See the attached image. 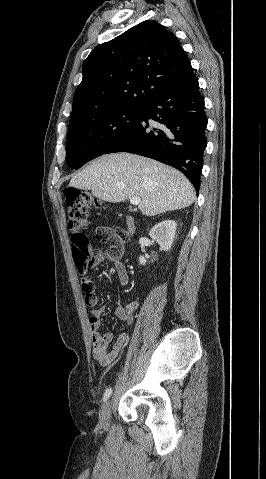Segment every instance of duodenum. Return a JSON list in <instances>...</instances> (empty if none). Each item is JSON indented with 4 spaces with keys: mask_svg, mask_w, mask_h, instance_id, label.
<instances>
[{
    "mask_svg": "<svg viewBox=\"0 0 266 479\" xmlns=\"http://www.w3.org/2000/svg\"><path fill=\"white\" fill-rule=\"evenodd\" d=\"M126 222H127V232H126V237H125L124 243L123 244L119 243V245H113L112 246V248L110 249V255H111L112 258H117V257L123 256V254L125 252V245L134 233V225H133L132 219L127 218Z\"/></svg>",
    "mask_w": 266,
    "mask_h": 479,
    "instance_id": "obj_1",
    "label": "duodenum"
}]
</instances>
